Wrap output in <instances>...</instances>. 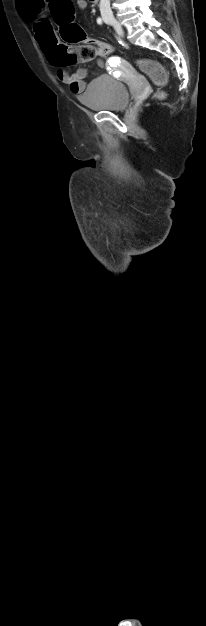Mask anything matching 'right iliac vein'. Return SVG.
<instances>
[{
	"mask_svg": "<svg viewBox=\"0 0 206 626\" xmlns=\"http://www.w3.org/2000/svg\"><path fill=\"white\" fill-rule=\"evenodd\" d=\"M105 22L114 27L118 34L123 35L124 31L120 23L114 17H105Z\"/></svg>",
	"mask_w": 206,
	"mask_h": 626,
	"instance_id": "right-iliac-vein-1",
	"label": "right iliac vein"
}]
</instances>
